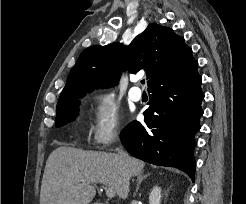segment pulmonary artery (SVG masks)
I'll return each mask as SVG.
<instances>
[{
    "label": "pulmonary artery",
    "mask_w": 246,
    "mask_h": 204,
    "mask_svg": "<svg viewBox=\"0 0 246 204\" xmlns=\"http://www.w3.org/2000/svg\"><path fill=\"white\" fill-rule=\"evenodd\" d=\"M133 81L136 83L138 81V79L135 78ZM129 97L131 100H133L135 102L140 101L142 98V91L136 86L132 87L129 90Z\"/></svg>",
    "instance_id": "pulmonary-artery-1"
}]
</instances>
